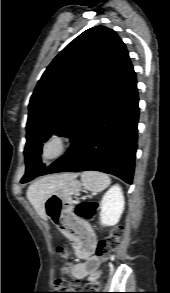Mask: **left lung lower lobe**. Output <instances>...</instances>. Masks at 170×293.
<instances>
[{
    "label": "left lung lower lobe",
    "mask_w": 170,
    "mask_h": 293,
    "mask_svg": "<svg viewBox=\"0 0 170 293\" xmlns=\"http://www.w3.org/2000/svg\"><path fill=\"white\" fill-rule=\"evenodd\" d=\"M136 84L129 61L71 139L68 152L37 176L95 170L113 174L131 184L139 118Z\"/></svg>",
    "instance_id": "obj_1"
}]
</instances>
